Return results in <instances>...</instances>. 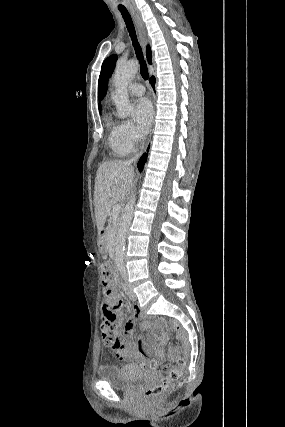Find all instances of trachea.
<instances>
[{
	"label": "trachea",
	"mask_w": 285,
	"mask_h": 427,
	"mask_svg": "<svg viewBox=\"0 0 285 427\" xmlns=\"http://www.w3.org/2000/svg\"><path fill=\"white\" fill-rule=\"evenodd\" d=\"M118 9L121 12L122 17H123V19L125 21L127 30L129 32V35H130L131 40H132V44H133L136 56H137V58L139 60L141 76L145 80H147L148 77H149V75H148V69H147L146 62H145V60L143 58L141 47H140V45L138 43V40H137L136 31H135V28H134L131 16H130L129 12L127 11V9L125 7H119Z\"/></svg>",
	"instance_id": "1"
}]
</instances>
